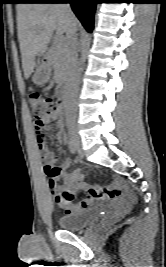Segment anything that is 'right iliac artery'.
Listing matches in <instances>:
<instances>
[{
	"label": "right iliac artery",
	"mask_w": 166,
	"mask_h": 267,
	"mask_svg": "<svg viewBox=\"0 0 166 267\" xmlns=\"http://www.w3.org/2000/svg\"><path fill=\"white\" fill-rule=\"evenodd\" d=\"M68 145H69V149H70L71 153H73V154L76 153L77 148H76V145H75V143L71 137H69Z\"/></svg>",
	"instance_id": "82829eb1"
}]
</instances>
